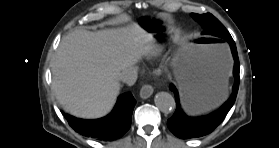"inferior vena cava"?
<instances>
[{
	"label": "inferior vena cava",
	"instance_id": "602c4592",
	"mask_svg": "<svg viewBox=\"0 0 279 148\" xmlns=\"http://www.w3.org/2000/svg\"><path fill=\"white\" fill-rule=\"evenodd\" d=\"M118 79H119V81H122L123 83H126L129 86H132L137 81V73L132 68L125 69L119 73Z\"/></svg>",
	"mask_w": 279,
	"mask_h": 148
}]
</instances>
